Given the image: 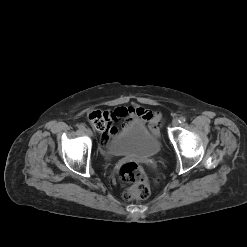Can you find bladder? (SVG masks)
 I'll return each instance as SVG.
<instances>
[{"label": "bladder", "instance_id": "obj_1", "mask_svg": "<svg viewBox=\"0 0 247 247\" xmlns=\"http://www.w3.org/2000/svg\"><path fill=\"white\" fill-rule=\"evenodd\" d=\"M161 149L159 139L143 124L134 123L126 126L113 136L106 145L111 156L152 157Z\"/></svg>", "mask_w": 247, "mask_h": 247}]
</instances>
